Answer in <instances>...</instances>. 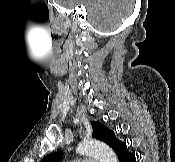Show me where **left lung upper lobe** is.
<instances>
[{
    "mask_svg": "<svg viewBox=\"0 0 175 162\" xmlns=\"http://www.w3.org/2000/svg\"><path fill=\"white\" fill-rule=\"evenodd\" d=\"M91 124L93 127V137L105 142L110 147H113L115 142L118 140L115 137L114 132L111 131L110 129H108L106 126H104L100 122L93 121ZM62 156H63V152L57 151V152H54V153H51V154L45 156L41 160V162H59Z\"/></svg>",
    "mask_w": 175,
    "mask_h": 162,
    "instance_id": "5c2ea615",
    "label": "left lung upper lobe"
}]
</instances>
